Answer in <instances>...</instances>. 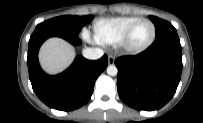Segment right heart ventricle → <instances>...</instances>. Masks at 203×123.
Segmentation results:
<instances>
[{
    "label": "right heart ventricle",
    "instance_id": "1",
    "mask_svg": "<svg viewBox=\"0 0 203 123\" xmlns=\"http://www.w3.org/2000/svg\"><path fill=\"white\" fill-rule=\"evenodd\" d=\"M138 19L137 16L98 19L93 26L95 39L102 44L118 43L128 26Z\"/></svg>",
    "mask_w": 203,
    "mask_h": 123
}]
</instances>
